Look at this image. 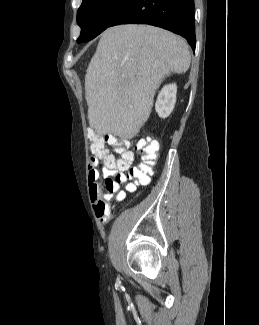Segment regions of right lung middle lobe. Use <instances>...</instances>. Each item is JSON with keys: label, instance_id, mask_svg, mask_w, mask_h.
<instances>
[{"label": "right lung middle lobe", "instance_id": "1", "mask_svg": "<svg viewBox=\"0 0 259 325\" xmlns=\"http://www.w3.org/2000/svg\"><path fill=\"white\" fill-rule=\"evenodd\" d=\"M127 0H83L77 12L81 27L78 43L92 40L109 27Z\"/></svg>", "mask_w": 259, "mask_h": 325}]
</instances>
